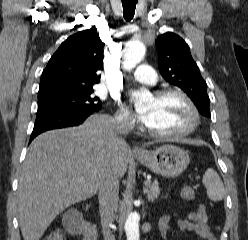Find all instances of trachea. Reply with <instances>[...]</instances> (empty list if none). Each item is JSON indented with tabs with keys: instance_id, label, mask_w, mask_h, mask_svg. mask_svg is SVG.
<instances>
[{
	"instance_id": "3493384b",
	"label": "trachea",
	"mask_w": 248,
	"mask_h": 240,
	"mask_svg": "<svg viewBox=\"0 0 248 240\" xmlns=\"http://www.w3.org/2000/svg\"><path fill=\"white\" fill-rule=\"evenodd\" d=\"M136 4H137V0L122 1L123 16L125 20L130 21L133 18L135 14Z\"/></svg>"
}]
</instances>
